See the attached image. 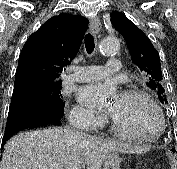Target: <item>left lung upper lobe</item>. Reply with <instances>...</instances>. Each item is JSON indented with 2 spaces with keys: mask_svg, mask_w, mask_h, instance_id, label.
Returning <instances> with one entry per match:
<instances>
[{
  "mask_svg": "<svg viewBox=\"0 0 177 169\" xmlns=\"http://www.w3.org/2000/svg\"><path fill=\"white\" fill-rule=\"evenodd\" d=\"M115 27L124 37L132 61L141 71L148 87L155 91L162 104H167L160 58L157 50L149 38L134 25L123 13L112 12L110 14Z\"/></svg>",
  "mask_w": 177,
  "mask_h": 169,
  "instance_id": "obj_1",
  "label": "left lung upper lobe"
}]
</instances>
